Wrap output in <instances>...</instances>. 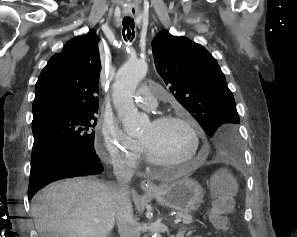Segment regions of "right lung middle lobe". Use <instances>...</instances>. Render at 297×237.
Here are the masks:
<instances>
[{"mask_svg": "<svg viewBox=\"0 0 297 237\" xmlns=\"http://www.w3.org/2000/svg\"><path fill=\"white\" fill-rule=\"evenodd\" d=\"M87 113H53L32 122L34 144L32 153L51 144L68 143L94 150V127L97 118Z\"/></svg>", "mask_w": 297, "mask_h": 237, "instance_id": "1", "label": "right lung middle lobe"}]
</instances>
